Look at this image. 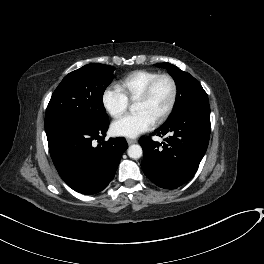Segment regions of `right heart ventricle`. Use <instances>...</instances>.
Wrapping results in <instances>:
<instances>
[{"instance_id":"1","label":"right heart ventricle","mask_w":264,"mask_h":264,"mask_svg":"<svg viewBox=\"0 0 264 264\" xmlns=\"http://www.w3.org/2000/svg\"><path fill=\"white\" fill-rule=\"evenodd\" d=\"M157 75H159V73L152 70L133 71L122 78L119 83V88L128 100L134 101L147 84Z\"/></svg>"}]
</instances>
